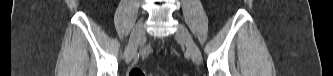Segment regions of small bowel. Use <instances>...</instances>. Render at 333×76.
Instances as JSON below:
<instances>
[{
    "instance_id": "1",
    "label": "small bowel",
    "mask_w": 333,
    "mask_h": 76,
    "mask_svg": "<svg viewBox=\"0 0 333 76\" xmlns=\"http://www.w3.org/2000/svg\"><path fill=\"white\" fill-rule=\"evenodd\" d=\"M145 52H146V53H147V52H149V49H146V51H145Z\"/></svg>"
}]
</instances>
